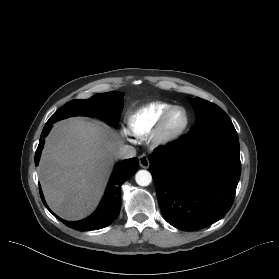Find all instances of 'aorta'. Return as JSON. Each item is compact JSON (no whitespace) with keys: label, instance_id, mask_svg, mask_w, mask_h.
I'll use <instances>...</instances> for the list:
<instances>
[{"label":"aorta","instance_id":"obj_1","mask_svg":"<svg viewBox=\"0 0 279 279\" xmlns=\"http://www.w3.org/2000/svg\"><path fill=\"white\" fill-rule=\"evenodd\" d=\"M135 180L140 186H148L152 181V175L147 170H139L135 175Z\"/></svg>","mask_w":279,"mask_h":279}]
</instances>
